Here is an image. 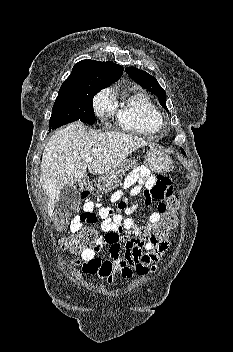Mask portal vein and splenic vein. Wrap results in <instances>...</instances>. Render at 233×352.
Instances as JSON below:
<instances>
[{
  "mask_svg": "<svg viewBox=\"0 0 233 352\" xmlns=\"http://www.w3.org/2000/svg\"><path fill=\"white\" fill-rule=\"evenodd\" d=\"M93 160V157H86L85 161L86 162H91Z\"/></svg>",
  "mask_w": 233,
  "mask_h": 352,
  "instance_id": "1",
  "label": "portal vein and splenic vein"
}]
</instances>
